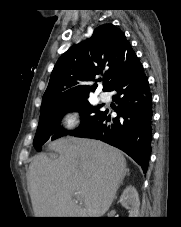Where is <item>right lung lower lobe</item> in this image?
Here are the masks:
<instances>
[{
	"instance_id": "1",
	"label": "right lung lower lobe",
	"mask_w": 181,
	"mask_h": 227,
	"mask_svg": "<svg viewBox=\"0 0 181 227\" xmlns=\"http://www.w3.org/2000/svg\"><path fill=\"white\" fill-rule=\"evenodd\" d=\"M118 104L117 117L106 110L96 123L74 134L107 142L131 156L147 171L152 141V95L148 78L137 56L126 63L123 72L109 87ZM111 123V124H108Z\"/></svg>"
}]
</instances>
